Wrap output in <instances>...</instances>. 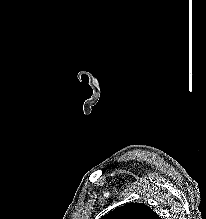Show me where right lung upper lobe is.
Wrapping results in <instances>:
<instances>
[{"instance_id": "obj_1", "label": "right lung upper lobe", "mask_w": 206, "mask_h": 219, "mask_svg": "<svg viewBox=\"0 0 206 219\" xmlns=\"http://www.w3.org/2000/svg\"><path fill=\"white\" fill-rule=\"evenodd\" d=\"M101 219H161L156 212L143 203H127L118 207Z\"/></svg>"}]
</instances>
